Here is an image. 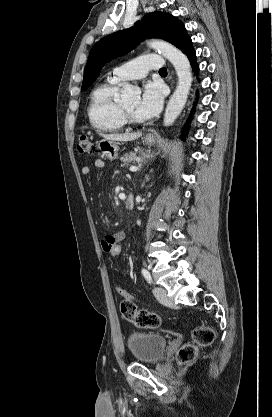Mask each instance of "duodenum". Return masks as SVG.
Returning a JSON list of instances; mask_svg holds the SVG:
<instances>
[{
	"label": "duodenum",
	"mask_w": 272,
	"mask_h": 417,
	"mask_svg": "<svg viewBox=\"0 0 272 417\" xmlns=\"http://www.w3.org/2000/svg\"><path fill=\"white\" fill-rule=\"evenodd\" d=\"M135 203V195L133 193H130L126 200H125V207L127 209H132Z\"/></svg>",
	"instance_id": "410a0bca"
}]
</instances>
